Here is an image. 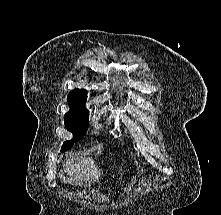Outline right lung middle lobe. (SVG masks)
<instances>
[{"instance_id":"dd1d6c3e","label":"right lung middle lobe","mask_w":221,"mask_h":215,"mask_svg":"<svg viewBox=\"0 0 221 215\" xmlns=\"http://www.w3.org/2000/svg\"><path fill=\"white\" fill-rule=\"evenodd\" d=\"M88 114L84 106L70 109L69 112L65 114L64 124L66 129L73 133V139L63 144L61 152L70 149L74 142L84 137L88 128Z\"/></svg>"}]
</instances>
